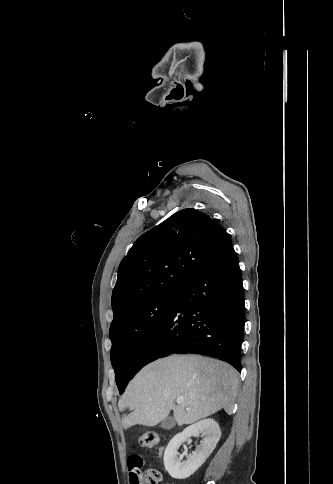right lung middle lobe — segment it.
<instances>
[{
  "label": "right lung middle lobe",
  "mask_w": 333,
  "mask_h": 484,
  "mask_svg": "<svg viewBox=\"0 0 333 484\" xmlns=\"http://www.w3.org/2000/svg\"><path fill=\"white\" fill-rule=\"evenodd\" d=\"M179 290L157 295L125 312L111 323V362L122 394L130 380L138 353L174 305Z\"/></svg>",
  "instance_id": "right-lung-middle-lobe-1"
}]
</instances>
